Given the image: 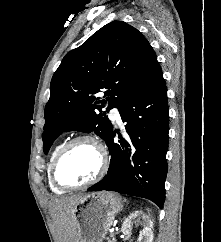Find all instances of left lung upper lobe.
<instances>
[{
  "instance_id": "5c2ea615",
  "label": "left lung upper lobe",
  "mask_w": 221,
  "mask_h": 242,
  "mask_svg": "<svg viewBox=\"0 0 221 242\" xmlns=\"http://www.w3.org/2000/svg\"><path fill=\"white\" fill-rule=\"evenodd\" d=\"M159 67L136 28L113 21L63 58L51 80L44 115L43 149L64 131L92 132L106 140L112 124L102 108H119ZM106 89L104 97L99 96Z\"/></svg>"
}]
</instances>
